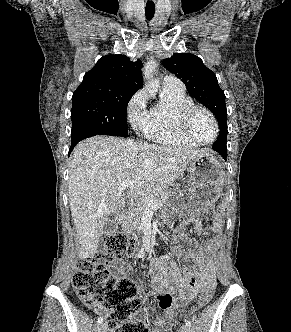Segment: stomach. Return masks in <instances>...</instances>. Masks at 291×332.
Masks as SVG:
<instances>
[{
	"label": "stomach",
	"instance_id": "0dacf381",
	"mask_svg": "<svg viewBox=\"0 0 291 332\" xmlns=\"http://www.w3.org/2000/svg\"><path fill=\"white\" fill-rule=\"evenodd\" d=\"M189 187L178 191L170 206L188 209L192 213L215 203L222 192L224 172L217 158L209 152L197 156L187 167Z\"/></svg>",
	"mask_w": 291,
	"mask_h": 332
}]
</instances>
